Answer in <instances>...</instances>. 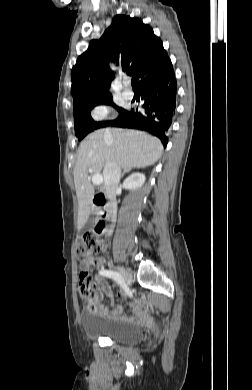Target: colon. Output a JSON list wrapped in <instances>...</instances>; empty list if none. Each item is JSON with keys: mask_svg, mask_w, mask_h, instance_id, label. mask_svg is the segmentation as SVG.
Listing matches in <instances>:
<instances>
[{"mask_svg": "<svg viewBox=\"0 0 252 390\" xmlns=\"http://www.w3.org/2000/svg\"><path fill=\"white\" fill-rule=\"evenodd\" d=\"M104 251L102 239L97 232L92 231L85 234L77 244V256L82 262H85ZM81 293L89 301V306L92 311H97L100 296L93 284L90 282L87 272L80 274Z\"/></svg>", "mask_w": 252, "mask_h": 390, "instance_id": "5ec220e1", "label": "colon"}]
</instances>
